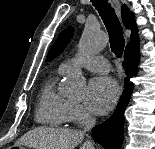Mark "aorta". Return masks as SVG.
Listing matches in <instances>:
<instances>
[{"instance_id":"762f6f07","label":"aorta","mask_w":155,"mask_h":149,"mask_svg":"<svg viewBox=\"0 0 155 149\" xmlns=\"http://www.w3.org/2000/svg\"><path fill=\"white\" fill-rule=\"evenodd\" d=\"M107 44L106 36L99 28L85 26L78 44V51L82 56H89L102 50ZM86 81L79 68L71 69L64 78L61 91L67 97L81 98L84 95Z\"/></svg>"}]
</instances>
